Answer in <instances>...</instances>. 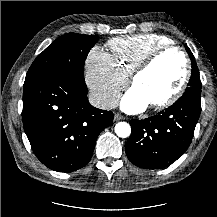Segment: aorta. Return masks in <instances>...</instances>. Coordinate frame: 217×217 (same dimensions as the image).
Masks as SVG:
<instances>
[{
  "label": "aorta",
  "instance_id": "1",
  "mask_svg": "<svg viewBox=\"0 0 217 217\" xmlns=\"http://www.w3.org/2000/svg\"><path fill=\"white\" fill-rule=\"evenodd\" d=\"M115 133L120 138H127L131 134V127L126 122H119L115 126Z\"/></svg>",
  "mask_w": 217,
  "mask_h": 217
}]
</instances>
